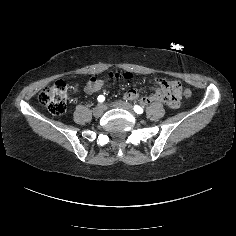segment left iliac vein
<instances>
[{"label": "left iliac vein", "mask_w": 236, "mask_h": 236, "mask_svg": "<svg viewBox=\"0 0 236 236\" xmlns=\"http://www.w3.org/2000/svg\"><path fill=\"white\" fill-rule=\"evenodd\" d=\"M112 105H113L114 108L125 109L128 112H130L131 114H133L134 116H136L133 112L132 105H130L129 103H126L124 101H117V102L113 103Z\"/></svg>", "instance_id": "left-iliac-vein-1"}]
</instances>
